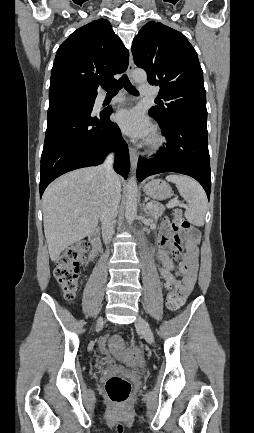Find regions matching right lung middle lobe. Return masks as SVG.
<instances>
[{
    "label": "right lung middle lobe",
    "instance_id": "obj_1",
    "mask_svg": "<svg viewBox=\"0 0 254 433\" xmlns=\"http://www.w3.org/2000/svg\"><path fill=\"white\" fill-rule=\"evenodd\" d=\"M85 100H88V101L94 102V101H95V98H92V99H85Z\"/></svg>",
    "mask_w": 254,
    "mask_h": 433
}]
</instances>
